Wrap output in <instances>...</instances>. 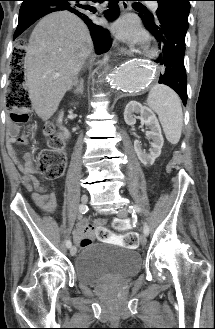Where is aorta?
<instances>
[{"instance_id": "762f6f07", "label": "aorta", "mask_w": 215, "mask_h": 329, "mask_svg": "<svg viewBox=\"0 0 215 329\" xmlns=\"http://www.w3.org/2000/svg\"><path fill=\"white\" fill-rule=\"evenodd\" d=\"M152 77V68L142 62H117L107 74V85L122 92H136L144 89Z\"/></svg>"}]
</instances>
